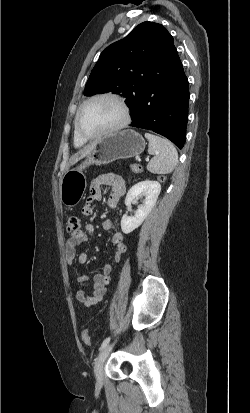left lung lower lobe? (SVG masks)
<instances>
[{"label":"left lung lower lobe","mask_w":250,"mask_h":413,"mask_svg":"<svg viewBox=\"0 0 250 413\" xmlns=\"http://www.w3.org/2000/svg\"><path fill=\"white\" fill-rule=\"evenodd\" d=\"M159 73L141 84L137 98L129 106L131 126L163 135L182 149L186 139L189 90L174 45Z\"/></svg>","instance_id":"obj_1"}]
</instances>
